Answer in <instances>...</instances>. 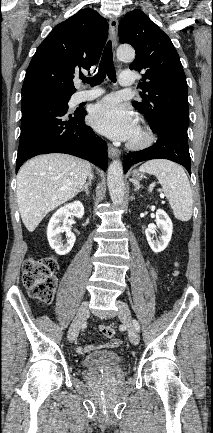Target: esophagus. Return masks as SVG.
Wrapping results in <instances>:
<instances>
[{
	"instance_id": "esophagus-1",
	"label": "esophagus",
	"mask_w": 213,
	"mask_h": 433,
	"mask_svg": "<svg viewBox=\"0 0 213 433\" xmlns=\"http://www.w3.org/2000/svg\"><path fill=\"white\" fill-rule=\"evenodd\" d=\"M109 29H110V37L112 40L113 47H116L117 29H118V19L116 17L110 18ZM108 154L110 158H116L120 156V151L117 148L113 147L112 145H108Z\"/></svg>"
}]
</instances>
